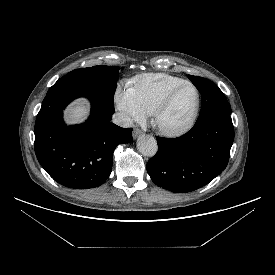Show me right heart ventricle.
<instances>
[{"instance_id": "right-heart-ventricle-1", "label": "right heart ventricle", "mask_w": 275, "mask_h": 275, "mask_svg": "<svg viewBox=\"0 0 275 275\" xmlns=\"http://www.w3.org/2000/svg\"><path fill=\"white\" fill-rule=\"evenodd\" d=\"M183 81L182 78L164 73H148L136 77L133 88L143 111L151 114L166 92Z\"/></svg>"}]
</instances>
